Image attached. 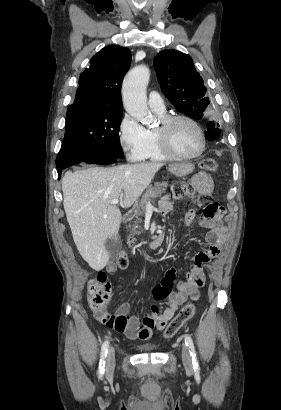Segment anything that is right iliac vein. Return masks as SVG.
Wrapping results in <instances>:
<instances>
[{
    "mask_svg": "<svg viewBox=\"0 0 281 410\" xmlns=\"http://www.w3.org/2000/svg\"><path fill=\"white\" fill-rule=\"evenodd\" d=\"M115 368V350L111 347L106 358V374L111 375Z\"/></svg>",
    "mask_w": 281,
    "mask_h": 410,
    "instance_id": "63e3f726",
    "label": "right iliac vein"
}]
</instances>
